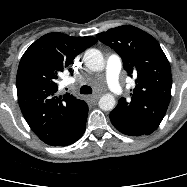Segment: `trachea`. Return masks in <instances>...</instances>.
Here are the masks:
<instances>
[{"instance_id":"obj_1","label":"trachea","mask_w":187,"mask_h":187,"mask_svg":"<svg viewBox=\"0 0 187 187\" xmlns=\"http://www.w3.org/2000/svg\"><path fill=\"white\" fill-rule=\"evenodd\" d=\"M80 93L81 94H91L92 93V88L87 86V85H84V86L81 87Z\"/></svg>"}]
</instances>
